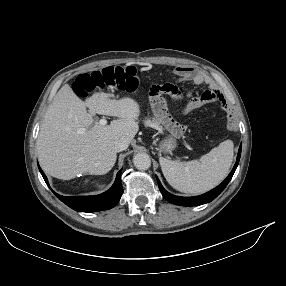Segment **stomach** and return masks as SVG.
Wrapping results in <instances>:
<instances>
[{"label":"stomach","instance_id":"obj_1","mask_svg":"<svg viewBox=\"0 0 286 286\" xmlns=\"http://www.w3.org/2000/svg\"><path fill=\"white\" fill-rule=\"evenodd\" d=\"M176 136L170 133V136L166 137L160 143V151L164 153H171L177 146Z\"/></svg>","mask_w":286,"mask_h":286}]
</instances>
